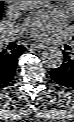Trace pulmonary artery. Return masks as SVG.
<instances>
[{
  "label": "pulmonary artery",
  "mask_w": 74,
  "mask_h": 122,
  "mask_svg": "<svg viewBox=\"0 0 74 122\" xmlns=\"http://www.w3.org/2000/svg\"><path fill=\"white\" fill-rule=\"evenodd\" d=\"M14 37H15L14 34H6V35L4 36V40H5L6 42H9V41L13 40Z\"/></svg>",
  "instance_id": "e3ab8cb5"
}]
</instances>
